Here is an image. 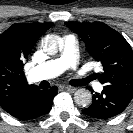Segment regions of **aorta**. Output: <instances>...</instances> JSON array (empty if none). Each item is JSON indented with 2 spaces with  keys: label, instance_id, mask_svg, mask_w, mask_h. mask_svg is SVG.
Wrapping results in <instances>:
<instances>
[{
  "label": "aorta",
  "instance_id": "1",
  "mask_svg": "<svg viewBox=\"0 0 133 133\" xmlns=\"http://www.w3.org/2000/svg\"><path fill=\"white\" fill-rule=\"evenodd\" d=\"M43 50L49 55H55L59 50L63 48L62 39L57 35H46L42 40ZM74 100L80 106H88L92 101V95L89 90L78 89L74 93Z\"/></svg>",
  "mask_w": 133,
  "mask_h": 133
}]
</instances>
